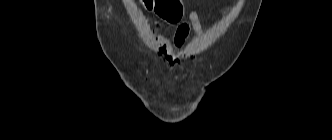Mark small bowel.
I'll list each match as a JSON object with an SVG mask.
<instances>
[{
  "label": "small bowel",
  "mask_w": 332,
  "mask_h": 140,
  "mask_svg": "<svg viewBox=\"0 0 332 140\" xmlns=\"http://www.w3.org/2000/svg\"><path fill=\"white\" fill-rule=\"evenodd\" d=\"M186 17L187 20L179 23L172 37L163 36L161 44V52L168 66L177 67L181 63V51L190 32H195L198 36L204 35L199 15L196 9H191L187 15L182 13L181 18Z\"/></svg>",
  "instance_id": "1"
}]
</instances>
